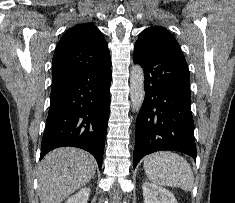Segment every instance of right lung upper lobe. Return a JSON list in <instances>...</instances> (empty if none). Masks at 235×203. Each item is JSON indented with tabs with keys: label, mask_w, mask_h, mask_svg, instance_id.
Returning <instances> with one entry per match:
<instances>
[{
	"label": "right lung upper lobe",
	"mask_w": 235,
	"mask_h": 203,
	"mask_svg": "<svg viewBox=\"0 0 235 203\" xmlns=\"http://www.w3.org/2000/svg\"><path fill=\"white\" fill-rule=\"evenodd\" d=\"M107 42L93 24H78L58 42L52 66V85L62 83L109 58Z\"/></svg>",
	"instance_id": "right-lung-upper-lobe-1"
}]
</instances>
